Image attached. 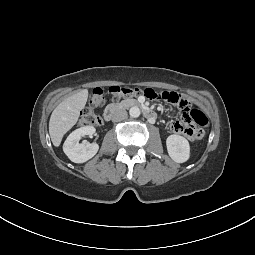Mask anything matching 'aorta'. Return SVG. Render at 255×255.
I'll return each instance as SVG.
<instances>
[{
  "label": "aorta",
  "mask_w": 255,
  "mask_h": 255,
  "mask_svg": "<svg viewBox=\"0 0 255 255\" xmlns=\"http://www.w3.org/2000/svg\"><path fill=\"white\" fill-rule=\"evenodd\" d=\"M129 114H130L131 117L137 118V117L140 116L141 112H140V109L138 107L133 106V107L130 108Z\"/></svg>",
  "instance_id": "1"
}]
</instances>
